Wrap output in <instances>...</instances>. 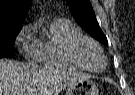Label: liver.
Wrapping results in <instances>:
<instances>
[{
    "instance_id": "1",
    "label": "liver",
    "mask_w": 135,
    "mask_h": 95,
    "mask_svg": "<svg viewBox=\"0 0 135 95\" xmlns=\"http://www.w3.org/2000/svg\"><path fill=\"white\" fill-rule=\"evenodd\" d=\"M87 78L85 74L0 59V95H57Z\"/></svg>"
}]
</instances>
